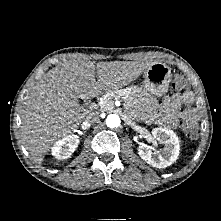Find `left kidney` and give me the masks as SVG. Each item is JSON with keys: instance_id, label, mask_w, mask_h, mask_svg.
Returning <instances> with one entry per match:
<instances>
[{"instance_id": "left-kidney-1", "label": "left kidney", "mask_w": 221, "mask_h": 221, "mask_svg": "<svg viewBox=\"0 0 221 221\" xmlns=\"http://www.w3.org/2000/svg\"><path fill=\"white\" fill-rule=\"evenodd\" d=\"M153 137L165 145L163 153L152 152L148 146L138 147L139 156L148 164L156 168H165L172 165L178 158L180 151L179 139L176 134L167 128H154Z\"/></svg>"}]
</instances>
